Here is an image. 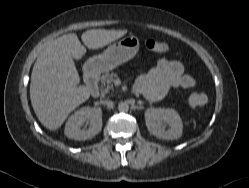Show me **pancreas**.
Listing matches in <instances>:
<instances>
[{
  "label": "pancreas",
  "mask_w": 249,
  "mask_h": 188,
  "mask_svg": "<svg viewBox=\"0 0 249 188\" xmlns=\"http://www.w3.org/2000/svg\"><path fill=\"white\" fill-rule=\"evenodd\" d=\"M116 78H117V73H107L101 76L100 92L102 96H105L111 90H113L114 88L113 82Z\"/></svg>",
  "instance_id": "cf45deb5"
}]
</instances>
